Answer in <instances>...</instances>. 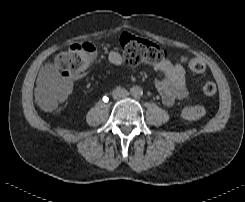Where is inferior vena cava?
<instances>
[{
    "mask_svg": "<svg viewBox=\"0 0 245 202\" xmlns=\"http://www.w3.org/2000/svg\"><path fill=\"white\" fill-rule=\"evenodd\" d=\"M128 95H129V92L126 89L120 88V87H117L112 92V96L114 99H121V98L127 97Z\"/></svg>",
    "mask_w": 245,
    "mask_h": 202,
    "instance_id": "1",
    "label": "inferior vena cava"
}]
</instances>
